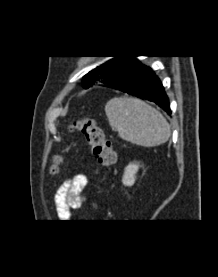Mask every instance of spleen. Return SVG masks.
<instances>
[{"instance_id":"3e777b00","label":"spleen","mask_w":218,"mask_h":277,"mask_svg":"<svg viewBox=\"0 0 218 277\" xmlns=\"http://www.w3.org/2000/svg\"><path fill=\"white\" fill-rule=\"evenodd\" d=\"M109 124L123 140L145 147L165 143L171 134L165 117L137 98L116 97L105 106Z\"/></svg>"}]
</instances>
